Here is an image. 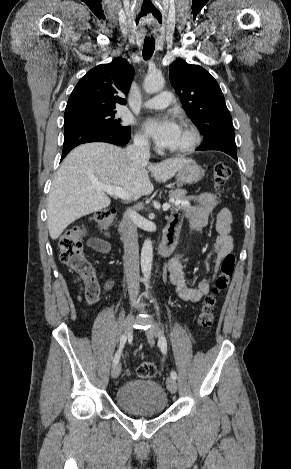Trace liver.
I'll use <instances>...</instances> for the list:
<instances>
[{
  "label": "liver",
  "mask_w": 291,
  "mask_h": 469,
  "mask_svg": "<svg viewBox=\"0 0 291 469\" xmlns=\"http://www.w3.org/2000/svg\"><path fill=\"white\" fill-rule=\"evenodd\" d=\"M186 158H171L158 164L132 161L126 152L107 143H87L75 148L64 159L48 197L47 224L56 240L75 220L107 208L111 200L94 183L122 187L129 199L152 193L149 172L158 182L172 178Z\"/></svg>",
  "instance_id": "liver-1"
}]
</instances>
